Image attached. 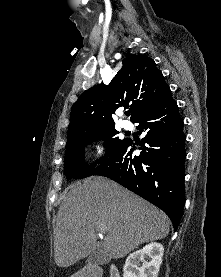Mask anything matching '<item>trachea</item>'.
Here are the masks:
<instances>
[{
	"mask_svg": "<svg viewBox=\"0 0 221 277\" xmlns=\"http://www.w3.org/2000/svg\"><path fill=\"white\" fill-rule=\"evenodd\" d=\"M125 114H126V115H129V112H126Z\"/></svg>",
	"mask_w": 221,
	"mask_h": 277,
	"instance_id": "1",
	"label": "trachea"
}]
</instances>
